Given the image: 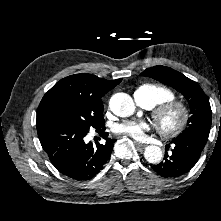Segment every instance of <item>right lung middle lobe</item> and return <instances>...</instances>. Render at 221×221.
Returning a JSON list of instances; mask_svg holds the SVG:
<instances>
[{"label":"right lung middle lobe","instance_id":"right-lung-middle-lobe-1","mask_svg":"<svg viewBox=\"0 0 221 221\" xmlns=\"http://www.w3.org/2000/svg\"><path fill=\"white\" fill-rule=\"evenodd\" d=\"M37 116L51 118L66 123L83 132L91 127L104 126L103 103L85 99H65L42 111Z\"/></svg>","mask_w":221,"mask_h":221}]
</instances>
